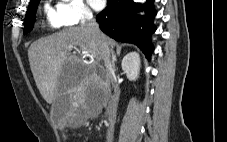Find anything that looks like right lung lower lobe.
Here are the masks:
<instances>
[{
  "instance_id": "98d812e1",
  "label": "right lung lower lobe",
  "mask_w": 227,
  "mask_h": 142,
  "mask_svg": "<svg viewBox=\"0 0 227 142\" xmlns=\"http://www.w3.org/2000/svg\"><path fill=\"white\" fill-rule=\"evenodd\" d=\"M142 9L144 16L134 13ZM155 15L152 0H147L143 6L133 0H108V6L96 16V20L104 33L117 41L136 44L150 58L154 50L150 36L156 30L153 24Z\"/></svg>"
}]
</instances>
